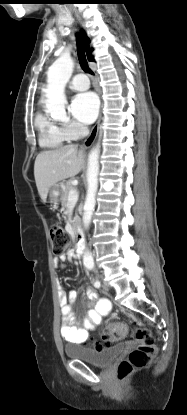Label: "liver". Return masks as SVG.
Instances as JSON below:
<instances>
[{"label": "liver", "instance_id": "obj_1", "mask_svg": "<svg viewBox=\"0 0 187 415\" xmlns=\"http://www.w3.org/2000/svg\"><path fill=\"white\" fill-rule=\"evenodd\" d=\"M84 152L76 145L39 153L35 159L34 177L38 193L45 203L50 188L57 182L78 174L84 163Z\"/></svg>", "mask_w": 187, "mask_h": 415}]
</instances>
